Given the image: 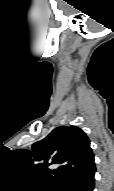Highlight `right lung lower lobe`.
I'll return each instance as SVG.
<instances>
[{
	"instance_id": "right-lung-lower-lobe-1",
	"label": "right lung lower lobe",
	"mask_w": 114,
	"mask_h": 191,
	"mask_svg": "<svg viewBox=\"0 0 114 191\" xmlns=\"http://www.w3.org/2000/svg\"><path fill=\"white\" fill-rule=\"evenodd\" d=\"M95 171L96 169L66 180L58 187V191H93L95 185Z\"/></svg>"
}]
</instances>
